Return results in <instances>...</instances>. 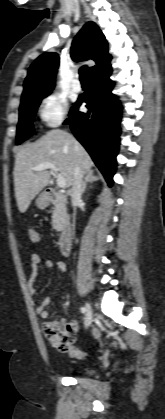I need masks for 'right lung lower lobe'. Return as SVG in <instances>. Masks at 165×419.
<instances>
[{
  "label": "right lung lower lobe",
  "instance_id": "obj_1",
  "mask_svg": "<svg viewBox=\"0 0 165 419\" xmlns=\"http://www.w3.org/2000/svg\"><path fill=\"white\" fill-rule=\"evenodd\" d=\"M111 73L110 68L89 78V89L79 97L70 111V118L64 122L70 124L73 134L91 155L109 185L113 184L116 169L121 118L120 103L111 92L114 86ZM84 102L87 103V113L78 111Z\"/></svg>",
  "mask_w": 165,
  "mask_h": 419
}]
</instances>
